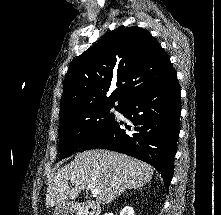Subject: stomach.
I'll list each match as a JSON object with an SVG mask.
<instances>
[{
    "label": "stomach",
    "mask_w": 221,
    "mask_h": 215,
    "mask_svg": "<svg viewBox=\"0 0 221 215\" xmlns=\"http://www.w3.org/2000/svg\"><path fill=\"white\" fill-rule=\"evenodd\" d=\"M54 215H76V207L73 203H60L55 207Z\"/></svg>",
    "instance_id": "stomach-1"
}]
</instances>
